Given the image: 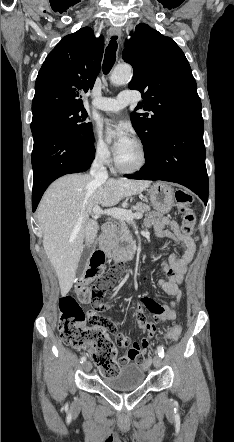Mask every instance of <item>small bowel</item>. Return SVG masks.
Returning <instances> with one entry per match:
<instances>
[{"label":"small bowel","mask_w":234,"mask_h":442,"mask_svg":"<svg viewBox=\"0 0 234 442\" xmlns=\"http://www.w3.org/2000/svg\"><path fill=\"white\" fill-rule=\"evenodd\" d=\"M145 225L153 227L158 237L172 239L183 249L181 256L172 254L168 261L162 262L161 269L167 278L158 281L162 291L169 296L175 297V300L168 305H162L159 314L135 315L134 327H140L142 331H148V337L143 338L140 342L134 343L130 347L128 337L123 336L121 329L117 330L115 323L108 315L88 314L87 316L89 328H95L97 331H108L109 336L115 337V341L119 343L120 349H126V353L121 358V361L125 363V368L128 370H136L142 367V360L145 359L144 355L149 346V339L157 331V328L161 327L162 322L176 318V307L181 299L180 285L196 252V238L184 235L177 221L153 212L145 219ZM167 226H170L171 230L166 229ZM107 309L108 306L103 304L100 312Z\"/></svg>","instance_id":"small-bowel-1"}]
</instances>
